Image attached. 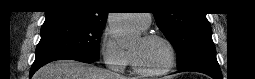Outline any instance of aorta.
<instances>
[{"label":"aorta","mask_w":255,"mask_h":79,"mask_svg":"<svg viewBox=\"0 0 255 79\" xmlns=\"http://www.w3.org/2000/svg\"><path fill=\"white\" fill-rule=\"evenodd\" d=\"M108 23L117 44L121 47L131 46L139 37L130 21L129 13H111Z\"/></svg>","instance_id":"762f6f07"}]
</instances>
